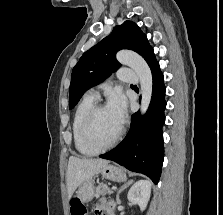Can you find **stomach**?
Returning <instances> with one entry per match:
<instances>
[{
  "label": "stomach",
  "instance_id": "stomach-1",
  "mask_svg": "<svg viewBox=\"0 0 223 215\" xmlns=\"http://www.w3.org/2000/svg\"><path fill=\"white\" fill-rule=\"evenodd\" d=\"M98 173H101L102 177L105 179H111V181H126V173L117 167V165H111V163H104L102 167H100ZM94 189V185L92 183V179H88V181H84L82 185H80L78 191L76 193H80V198L78 201H82L86 203V201H90L92 199V190Z\"/></svg>",
  "mask_w": 223,
  "mask_h": 215
}]
</instances>
